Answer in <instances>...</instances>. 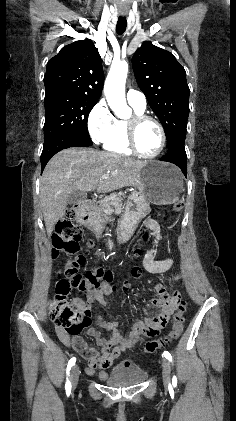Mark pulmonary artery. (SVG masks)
<instances>
[{
    "instance_id": "pulmonary-artery-1",
    "label": "pulmonary artery",
    "mask_w": 236,
    "mask_h": 421,
    "mask_svg": "<svg viewBox=\"0 0 236 421\" xmlns=\"http://www.w3.org/2000/svg\"><path fill=\"white\" fill-rule=\"evenodd\" d=\"M127 101L131 106L141 110H144L147 106L146 98L144 95L135 90H129L127 92Z\"/></svg>"
}]
</instances>
